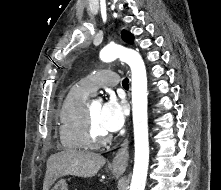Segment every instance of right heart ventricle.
Segmentation results:
<instances>
[{
  "mask_svg": "<svg viewBox=\"0 0 221 190\" xmlns=\"http://www.w3.org/2000/svg\"><path fill=\"white\" fill-rule=\"evenodd\" d=\"M90 95L80 84L72 86L58 111L59 140L65 150H83L88 146L84 137V101Z\"/></svg>",
  "mask_w": 221,
  "mask_h": 190,
  "instance_id": "e07e8e85",
  "label": "right heart ventricle"
}]
</instances>
